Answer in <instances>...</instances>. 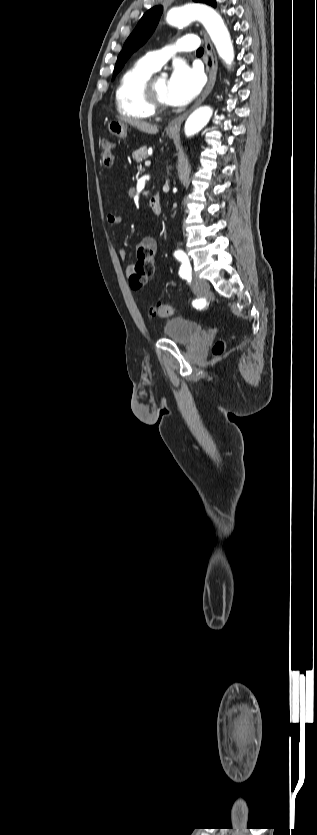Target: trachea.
<instances>
[{"label":"trachea","mask_w":317,"mask_h":835,"mask_svg":"<svg viewBox=\"0 0 317 835\" xmlns=\"http://www.w3.org/2000/svg\"><path fill=\"white\" fill-rule=\"evenodd\" d=\"M203 53H204V49H203V48H199V49L196 51V54H197V55H202Z\"/></svg>","instance_id":"trachea-1"}]
</instances>
